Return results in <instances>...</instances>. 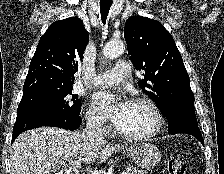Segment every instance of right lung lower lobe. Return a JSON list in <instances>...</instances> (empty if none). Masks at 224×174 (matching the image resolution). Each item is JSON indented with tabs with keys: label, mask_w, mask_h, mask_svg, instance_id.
Listing matches in <instances>:
<instances>
[{
	"label": "right lung lower lobe",
	"mask_w": 224,
	"mask_h": 174,
	"mask_svg": "<svg viewBox=\"0 0 224 174\" xmlns=\"http://www.w3.org/2000/svg\"><path fill=\"white\" fill-rule=\"evenodd\" d=\"M82 118L78 116H57L40 110H22L17 112L16 122L13 128L12 142L16 137L29 129L52 126L68 130H76L81 125Z\"/></svg>",
	"instance_id": "right-lung-lower-lobe-1"
}]
</instances>
